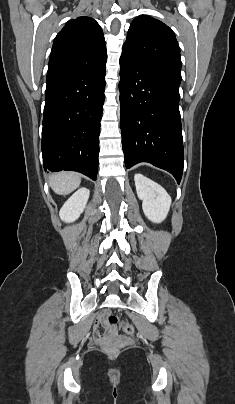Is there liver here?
Segmentation results:
<instances>
[{
  "mask_svg": "<svg viewBox=\"0 0 235 404\" xmlns=\"http://www.w3.org/2000/svg\"><path fill=\"white\" fill-rule=\"evenodd\" d=\"M80 175L74 172H59L49 179L52 190L59 195H67L79 187Z\"/></svg>",
  "mask_w": 235,
  "mask_h": 404,
  "instance_id": "liver-1",
  "label": "liver"
}]
</instances>
